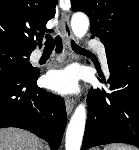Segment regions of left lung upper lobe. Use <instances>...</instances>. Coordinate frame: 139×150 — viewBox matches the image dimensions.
<instances>
[{
    "mask_svg": "<svg viewBox=\"0 0 139 150\" xmlns=\"http://www.w3.org/2000/svg\"><path fill=\"white\" fill-rule=\"evenodd\" d=\"M71 5L89 16L90 31L104 44L107 56L139 38V0H71Z\"/></svg>",
    "mask_w": 139,
    "mask_h": 150,
    "instance_id": "5c2ea615",
    "label": "left lung upper lobe"
}]
</instances>
